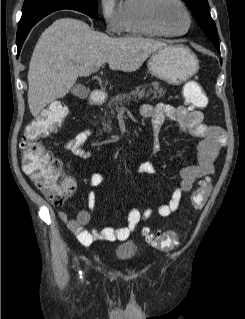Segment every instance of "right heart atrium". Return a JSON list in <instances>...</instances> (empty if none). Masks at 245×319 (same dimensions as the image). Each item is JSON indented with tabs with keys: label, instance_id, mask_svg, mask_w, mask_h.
Listing matches in <instances>:
<instances>
[{
	"label": "right heart atrium",
	"instance_id": "obj_1",
	"mask_svg": "<svg viewBox=\"0 0 245 319\" xmlns=\"http://www.w3.org/2000/svg\"><path fill=\"white\" fill-rule=\"evenodd\" d=\"M99 3L106 32L111 35L122 32L121 4L118 0H100Z\"/></svg>",
	"mask_w": 245,
	"mask_h": 319
}]
</instances>
